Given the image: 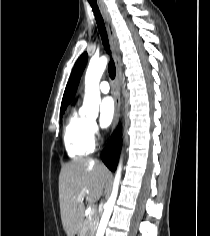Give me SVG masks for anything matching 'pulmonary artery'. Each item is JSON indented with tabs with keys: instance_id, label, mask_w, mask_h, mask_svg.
Returning a JSON list of instances; mask_svg holds the SVG:
<instances>
[{
	"instance_id": "pulmonary-artery-1",
	"label": "pulmonary artery",
	"mask_w": 210,
	"mask_h": 236,
	"mask_svg": "<svg viewBox=\"0 0 210 236\" xmlns=\"http://www.w3.org/2000/svg\"><path fill=\"white\" fill-rule=\"evenodd\" d=\"M99 90L101 93H108L110 91V86L107 82H101Z\"/></svg>"
}]
</instances>
